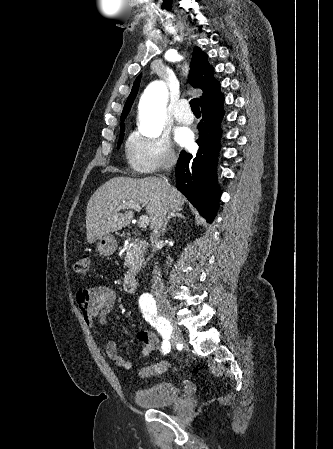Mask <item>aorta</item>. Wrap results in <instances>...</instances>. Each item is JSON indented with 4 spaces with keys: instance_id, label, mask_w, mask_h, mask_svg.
Masks as SVG:
<instances>
[{
    "instance_id": "obj_1",
    "label": "aorta",
    "mask_w": 333,
    "mask_h": 449,
    "mask_svg": "<svg viewBox=\"0 0 333 449\" xmlns=\"http://www.w3.org/2000/svg\"><path fill=\"white\" fill-rule=\"evenodd\" d=\"M168 88L162 81L151 83L139 105L140 129L148 137L159 136L166 118Z\"/></svg>"
}]
</instances>
